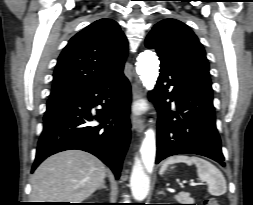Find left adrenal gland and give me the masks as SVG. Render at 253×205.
Returning <instances> with one entry per match:
<instances>
[{
    "label": "left adrenal gland",
    "mask_w": 253,
    "mask_h": 205,
    "mask_svg": "<svg viewBox=\"0 0 253 205\" xmlns=\"http://www.w3.org/2000/svg\"><path fill=\"white\" fill-rule=\"evenodd\" d=\"M158 194H164V192L163 191H158Z\"/></svg>",
    "instance_id": "1"
}]
</instances>
